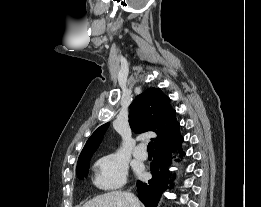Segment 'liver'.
<instances>
[{
    "label": "liver",
    "instance_id": "liver-1",
    "mask_svg": "<svg viewBox=\"0 0 261 207\" xmlns=\"http://www.w3.org/2000/svg\"><path fill=\"white\" fill-rule=\"evenodd\" d=\"M83 207H129V202L125 193L115 191L96 196L85 203Z\"/></svg>",
    "mask_w": 261,
    "mask_h": 207
}]
</instances>
